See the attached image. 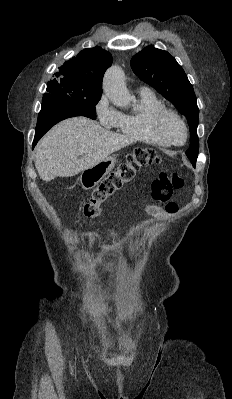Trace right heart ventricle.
<instances>
[{"instance_id": "right-heart-ventricle-1", "label": "right heart ventricle", "mask_w": 232, "mask_h": 399, "mask_svg": "<svg viewBox=\"0 0 232 399\" xmlns=\"http://www.w3.org/2000/svg\"><path fill=\"white\" fill-rule=\"evenodd\" d=\"M164 108L165 104L153 94H142L137 111L120 116L117 131L131 142L167 149L171 145L155 133L152 125L155 114Z\"/></svg>"}]
</instances>
